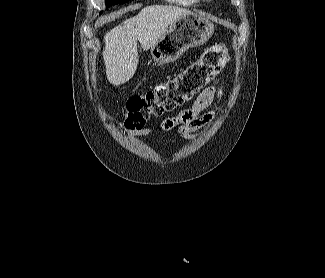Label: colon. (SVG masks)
<instances>
[{
	"label": "colon",
	"instance_id": "obj_1",
	"mask_svg": "<svg viewBox=\"0 0 325 278\" xmlns=\"http://www.w3.org/2000/svg\"><path fill=\"white\" fill-rule=\"evenodd\" d=\"M228 61L229 55L224 45L211 46L178 76L128 99L123 109L122 126L140 130L151 117L188 102L221 72Z\"/></svg>",
	"mask_w": 325,
	"mask_h": 278
}]
</instances>
